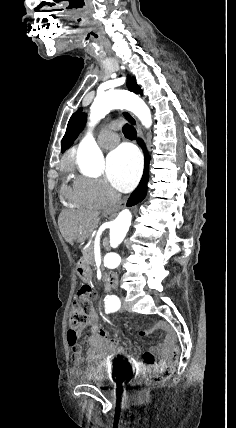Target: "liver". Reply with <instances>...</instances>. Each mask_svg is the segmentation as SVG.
Here are the masks:
<instances>
[{
	"instance_id": "6515ba94",
	"label": "liver",
	"mask_w": 236,
	"mask_h": 428,
	"mask_svg": "<svg viewBox=\"0 0 236 428\" xmlns=\"http://www.w3.org/2000/svg\"><path fill=\"white\" fill-rule=\"evenodd\" d=\"M98 212H61L59 230L66 242H85L99 222Z\"/></svg>"
}]
</instances>
